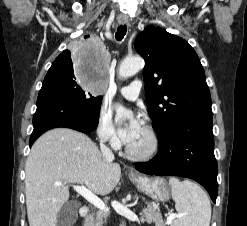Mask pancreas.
Returning <instances> with one entry per match:
<instances>
[{
	"instance_id": "1",
	"label": "pancreas",
	"mask_w": 247,
	"mask_h": 226,
	"mask_svg": "<svg viewBox=\"0 0 247 226\" xmlns=\"http://www.w3.org/2000/svg\"><path fill=\"white\" fill-rule=\"evenodd\" d=\"M142 221H154L159 222L158 214L152 209L147 208L144 213L141 214ZM107 221V215L101 212H97L94 215H90L86 220V226H103Z\"/></svg>"
}]
</instances>
